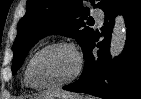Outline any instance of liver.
Returning <instances> with one entry per match:
<instances>
[{"instance_id":"obj_1","label":"liver","mask_w":141,"mask_h":99,"mask_svg":"<svg viewBox=\"0 0 141 99\" xmlns=\"http://www.w3.org/2000/svg\"><path fill=\"white\" fill-rule=\"evenodd\" d=\"M42 96H48L52 99H76L77 95L67 91H48L44 93Z\"/></svg>"}]
</instances>
